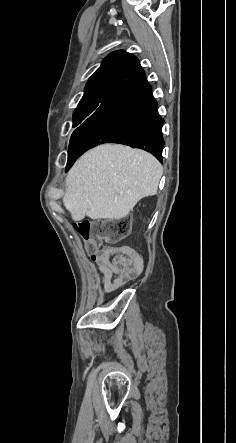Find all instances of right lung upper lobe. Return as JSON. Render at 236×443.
Wrapping results in <instances>:
<instances>
[{"mask_svg": "<svg viewBox=\"0 0 236 443\" xmlns=\"http://www.w3.org/2000/svg\"><path fill=\"white\" fill-rule=\"evenodd\" d=\"M144 76L139 60L125 51L110 53L90 77L79 104L98 97H109L135 84Z\"/></svg>", "mask_w": 236, "mask_h": 443, "instance_id": "1", "label": "right lung upper lobe"}]
</instances>
